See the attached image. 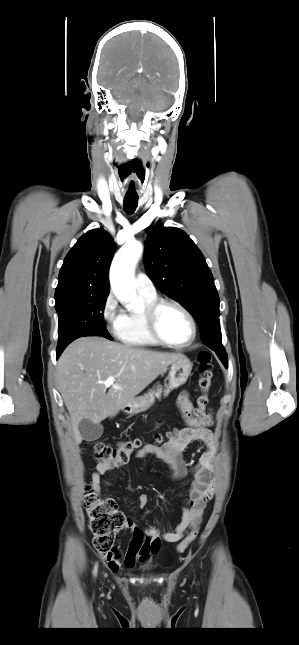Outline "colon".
Instances as JSON below:
<instances>
[{"label": "colon", "mask_w": 299, "mask_h": 645, "mask_svg": "<svg viewBox=\"0 0 299 645\" xmlns=\"http://www.w3.org/2000/svg\"><path fill=\"white\" fill-rule=\"evenodd\" d=\"M198 364L199 387L202 394L198 397L197 407L192 413L193 420H200L206 414L207 392L211 387L213 377L211 355L208 352L199 353ZM178 433H176V436ZM157 440L161 442L162 437L158 436ZM141 446L142 442L139 439L120 442L116 447L99 442L94 445L93 452L95 459L100 463H109L119 467L127 463L131 455L139 450ZM85 509L89 518V529L93 536L95 549L102 553H110L114 549L117 533L125 528L127 524V518L119 510L114 499L99 496L91 486L86 487ZM197 535L198 527L195 526L178 544L177 551L180 553L185 551L196 539Z\"/></svg>", "instance_id": "1"}]
</instances>
